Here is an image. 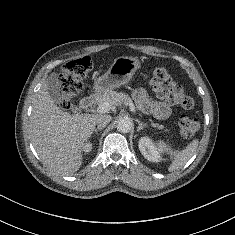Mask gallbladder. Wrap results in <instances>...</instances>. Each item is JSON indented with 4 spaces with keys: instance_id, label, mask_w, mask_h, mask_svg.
I'll return each mask as SVG.
<instances>
[{
    "instance_id": "obj_1",
    "label": "gallbladder",
    "mask_w": 235,
    "mask_h": 235,
    "mask_svg": "<svg viewBox=\"0 0 235 235\" xmlns=\"http://www.w3.org/2000/svg\"><path fill=\"white\" fill-rule=\"evenodd\" d=\"M59 80L56 74H52L47 79L48 92L54 100H58L60 97V92L58 90ZM79 109L77 107H72L73 112H77Z\"/></svg>"
}]
</instances>
